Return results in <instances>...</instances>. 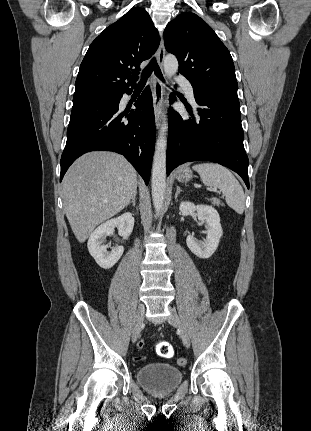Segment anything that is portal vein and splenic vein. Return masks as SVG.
I'll list each match as a JSON object with an SVG mask.
<instances>
[{
    "label": "portal vein and splenic vein",
    "mask_w": 311,
    "mask_h": 431,
    "mask_svg": "<svg viewBox=\"0 0 311 431\" xmlns=\"http://www.w3.org/2000/svg\"><path fill=\"white\" fill-rule=\"evenodd\" d=\"M211 192H217L216 188H211Z\"/></svg>",
    "instance_id": "obj_1"
}]
</instances>
